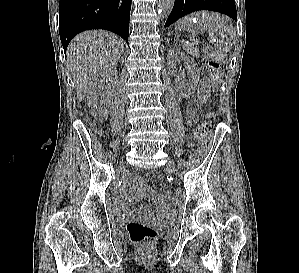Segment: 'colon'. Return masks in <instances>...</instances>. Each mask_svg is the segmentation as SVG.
<instances>
[{
  "mask_svg": "<svg viewBox=\"0 0 299 273\" xmlns=\"http://www.w3.org/2000/svg\"><path fill=\"white\" fill-rule=\"evenodd\" d=\"M219 63L216 60H208L206 63V77L202 79L199 85V104L197 111L203 109L204 103L208 100L212 82L218 78ZM211 134V125L208 122H201L194 130V135L202 144H207ZM183 201L180 191H176L172 196L174 205H179ZM128 236L132 241L140 245H149L157 238V230L143 222L132 221L126 226Z\"/></svg>",
  "mask_w": 299,
  "mask_h": 273,
  "instance_id": "1",
  "label": "colon"
}]
</instances>
